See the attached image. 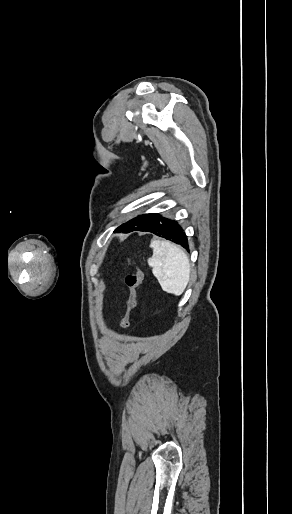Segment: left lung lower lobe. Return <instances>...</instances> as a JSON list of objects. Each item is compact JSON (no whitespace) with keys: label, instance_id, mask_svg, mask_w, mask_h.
Wrapping results in <instances>:
<instances>
[{"label":"left lung lower lobe","instance_id":"0a47b994","mask_svg":"<svg viewBox=\"0 0 292 514\" xmlns=\"http://www.w3.org/2000/svg\"><path fill=\"white\" fill-rule=\"evenodd\" d=\"M144 231L152 232L157 236L172 240L186 249L189 248L187 236L176 221L159 216L157 220Z\"/></svg>","mask_w":292,"mask_h":514}]
</instances>
